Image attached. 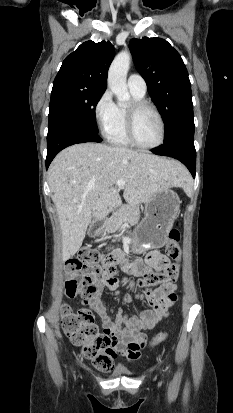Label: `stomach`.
<instances>
[{
	"instance_id": "1",
	"label": "stomach",
	"mask_w": 233,
	"mask_h": 413,
	"mask_svg": "<svg viewBox=\"0 0 233 413\" xmlns=\"http://www.w3.org/2000/svg\"><path fill=\"white\" fill-rule=\"evenodd\" d=\"M180 200L171 189L166 188L155 193L145 203V216L134 231L136 244L135 253H141L145 248L158 249L165 245L168 234L178 216ZM102 229L97 230L94 236H103Z\"/></svg>"
}]
</instances>
